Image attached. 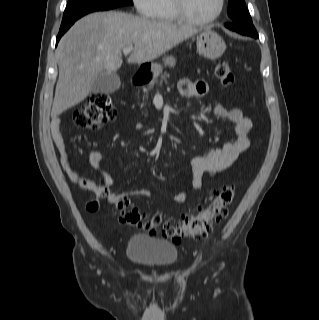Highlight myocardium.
Wrapping results in <instances>:
<instances>
[{"mask_svg":"<svg viewBox=\"0 0 319 320\" xmlns=\"http://www.w3.org/2000/svg\"><path fill=\"white\" fill-rule=\"evenodd\" d=\"M172 5L173 10L180 21L193 25H205L213 23L220 18L225 8V0H219L217 12L213 16L206 19H197L190 15L186 8V0H172Z\"/></svg>","mask_w":319,"mask_h":320,"instance_id":"myocardium-1","label":"myocardium"}]
</instances>
